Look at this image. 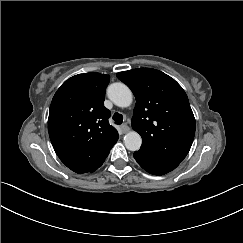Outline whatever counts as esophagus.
<instances>
[{"instance_id": "obj_1", "label": "esophagus", "mask_w": 243, "mask_h": 243, "mask_svg": "<svg viewBox=\"0 0 243 243\" xmlns=\"http://www.w3.org/2000/svg\"><path fill=\"white\" fill-rule=\"evenodd\" d=\"M120 128H121L122 133H124V134L130 130L129 126L126 124L121 125Z\"/></svg>"}]
</instances>
